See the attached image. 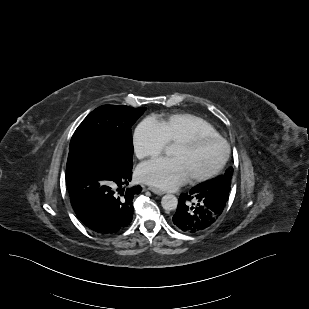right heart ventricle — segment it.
<instances>
[{"instance_id":"1","label":"right heart ventricle","mask_w":309,"mask_h":309,"mask_svg":"<svg viewBox=\"0 0 309 309\" xmlns=\"http://www.w3.org/2000/svg\"><path fill=\"white\" fill-rule=\"evenodd\" d=\"M161 129L167 143H175L193 133L218 134L205 119L190 113H176L154 119Z\"/></svg>"}]
</instances>
